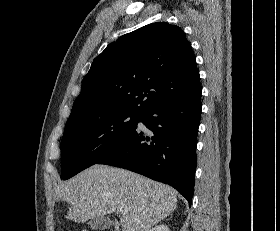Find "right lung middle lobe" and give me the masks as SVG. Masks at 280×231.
I'll return each instance as SVG.
<instances>
[{
    "label": "right lung middle lobe",
    "instance_id": "dd1d6c3e",
    "mask_svg": "<svg viewBox=\"0 0 280 231\" xmlns=\"http://www.w3.org/2000/svg\"><path fill=\"white\" fill-rule=\"evenodd\" d=\"M142 114L117 113L67 121L61 141V179L73 177L96 164L132 131Z\"/></svg>",
    "mask_w": 280,
    "mask_h": 231
}]
</instances>
